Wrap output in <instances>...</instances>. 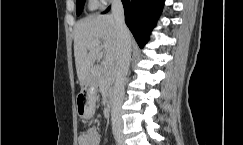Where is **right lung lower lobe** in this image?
Returning <instances> with one entry per match:
<instances>
[{"label": "right lung lower lobe", "mask_w": 243, "mask_h": 145, "mask_svg": "<svg viewBox=\"0 0 243 145\" xmlns=\"http://www.w3.org/2000/svg\"><path fill=\"white\" fill-rule=\"evenodd\" d=\"M125 22L138 45L143 48L156 20L162 11L164 0H122ZM110 7L105 11H109Z\"/></svg>", "instance_id": "98d812e1"}]
</instances>
